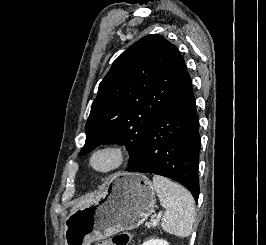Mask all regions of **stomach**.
<instances>
[{
    "label": "stomach",
    "mask_w": 266,
    "mask_h": 245,
    "mask_svg": "<svg viewBox=\"0 0 266 245\" xmlns=\"http://www.w3.org/2000/svg\"><path fill=\"white\" fill-rule=\"evenodd\" d=\"M155 203L154 187L145 175L116 173L101 199L67 217L64 243L90 245L120 231L138 229L153 213Z\"/></svg>",
    "instance_id": "1"
}]
</instances>
